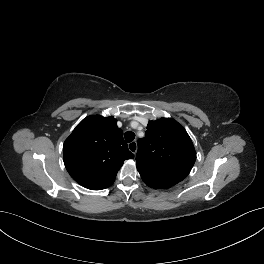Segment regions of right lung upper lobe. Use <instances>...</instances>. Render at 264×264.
<instances>
[{
  "label": "right lung upper lobe",
  "mask_w": 264,
  "mask_h": 264,
  "mask_svg": "<svg viewBox=\"0 0 264 264\" xmlns=\"http://www.w3.org/2000/svg\"><path fill=\"white\" fill-rule=\"evenodd\" d=\"M63 152L71 177L91 190L111 186L124 160L134 158L113 116L83 119L64 142Z\"/></svg>",
  "instance_id": "obj_1"
}]
</instances>
